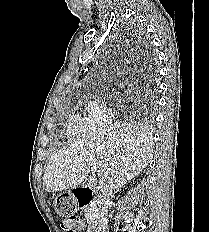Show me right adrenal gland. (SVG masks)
<instances>
[{
  "instance_id": "2a0ac1e0",
  "label": "right adrenal gland",
  "mask_w": 209,
  "mask_h": 232,
  "mask_svg": "<svg viewBox=\"0 0 209 232\" xmlns=\"http://www.w3.org/2000/svg\"><path fill=\"white\" fill-rule=\"evenodd\" d=\"M120 188H117V189H115L116 191H118Z\"/></svg>"
}]
</instances>
